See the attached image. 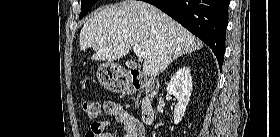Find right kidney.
Returning <instances> with one entry per match:
<instances>
[{"instance_id": "1", "label": "right kidney", "mask_w": 280, "mask_h": 137, "mask_svg": "<svg viewBox=\"0 0 280 137\" xmlns=\"http://www.w3.org/2000/svg\"><path fill=\"white\" fill-rule=\"evenodd\" d=\"M192 89L193 84L190 68L184 66L178 69L167 85V93L173 95L178 101L174 110L175 124H178L184 116Z\"/></svg>"}]
</instances>
